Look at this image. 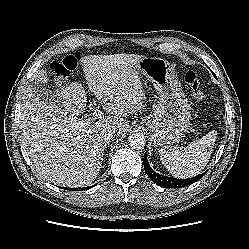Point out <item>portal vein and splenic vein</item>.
<instances>
[{
  "instance_id": "obj_1",
  "label": "portal vein and splenic vein",
  "mask_w": 249,
  "mask_h": 249,
  "mask_svg": "<svg viewBox=\"0 0 249 249\" xmlns=\"http://www.w3.org/2000/svg\"><path fill=\"white\" fill-rule=\"evenodd\" d=\"M94 114H95V116L99 117V116H101V111H100L99 109H96V110L94 111ZM77 124H78V125H83V124H85V121H80V122H78Z\"/></svg>"
}]
</instances>
